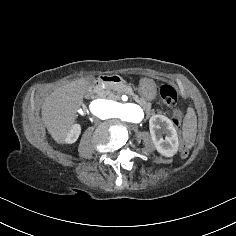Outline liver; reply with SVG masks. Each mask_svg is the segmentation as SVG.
<instances>
[{"label":"liver","mask_w":236,"mask_h":236,"mask_svg":"<svg viewBox=\"0 0 236 236\" xmlns=\"http://www.w3.org/2000/svg\"><path fill=\"white\" fill-rule=\"evenodd\" d=\"M92 78H79L55 89L41 105V120L51 138L59 145L76 123L77 110L84 103L85 94L91 89Z\"/></svg>","instance_id":"liver-1"}]
</instances>
